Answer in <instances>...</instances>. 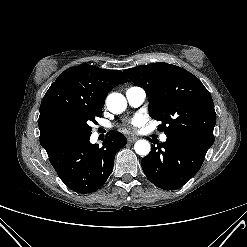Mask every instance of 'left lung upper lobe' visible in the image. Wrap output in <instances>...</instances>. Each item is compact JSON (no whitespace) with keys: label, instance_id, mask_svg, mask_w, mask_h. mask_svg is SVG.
<instances>
[{"label":"left lung upper lobe","instance_id":"left-lung-upper-lobe-1","mask_svg":"<svg viewBox=\"0 0 247 247\" xmlns=\"http://www.w3.org/2000/svg\"><path fill=\"white\" fill-rule=\"evenodd\" d=\"M124 73L145 89L149 115L162 122L159 128L167 136H186L212 146L216 113L210 93L197 77L163 62L126 69Z\"/></svg>","mask_w":247,"mask_h":247}]
</instances>
